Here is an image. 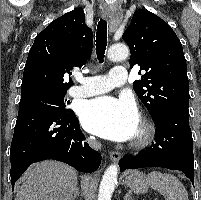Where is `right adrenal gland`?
Wrapping results in <instances>:
<instances>
[{
	"instance_id": "obj_1",
	"label": "right adrenal gland",
	"mask_w": 201,
	"mask_h": 200,
	"mask_svg": "<svg viewBox=\"0 0 201 200\" xmlns=\"http://www.w3.org/2000/svg\"><path fill=\"white\" fill-rule=\"evenodd\" d=\"M77 197H79V187H78V185H76L72 200H75Z\"/></svg>"
}]
</instances>
